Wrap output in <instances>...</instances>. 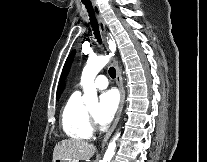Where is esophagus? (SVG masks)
Returning <instances> with one entry per match:
<instances>
[{
	"label": "esophagus",
	"instance_id": "34e87169",
	"mask_svg": "<svg viewBox=\"0 0 207 162\" xmlns=\"http://www.w3.org/2000/svg\"><path fill=\"white\" fill-rule=\"evenodd\" d=\"M91 2H92V6H93L96 20L98 22V26H99V30H100L103 42L109 52H114L116 50L115 40L112 35H107L105 22L103 20L102 14H101L99 7L96 4L95 0H91ZM112 61L115 66V69H116V83H117L118 89L120 91V103H119V107H118L113 125L109 129V131L106 133V135L101 143V148H103L105 146L106 142L108 141L111 134L113 133V131H114L119 119H120V116H121V113H122V110L124 107V101H125V90H124V86H123L122 75H121V71H120V68L118 65V61L114 55L112 56Z\"/></svg>",
	"mask_w": 207,
	"mask_h": 162
}]
</instances>
